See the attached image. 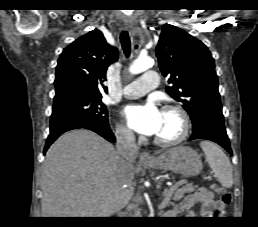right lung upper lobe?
<instances>
[{"label": "right lung upper lobe", "instance_id": "obj_1", "mask_svg": "<svg viewBox=\"0 0 258 227\" xmlns=\"http://www.w3.org/2000/svg\"><path fill=\"white\" fill-rule=\"evenodd\" d=\"M118 60V50L109 45L102 32L93 30L79 37L61 53L56 68V94L79 91L102 95L107 87V68Z\"/></svg>", "mask_w": 258, "mask_h": 227}]
</instances>
